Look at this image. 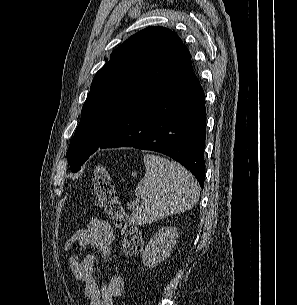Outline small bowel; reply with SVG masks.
<instances>
[{
    "instance_id": "1",
    "label": "small bowel",
    "mask_w": 297,
    "mask_h": 305,
    "mask_svg": "<svg viewBox=\"0 0 297 305\" xmlns=\"http://www.w3.org/2000/svg\"><path fill=\"white\" fill-rule=\"evenodd\" d=\"M114 240V231L108 221L93 218L85 228L76 231L64 243L66 253L76 247L70 257V267L83 287V295L88 305H113L114 300L124 293L125 282L122 277L112 275L107 280L96 277L98 264H105L111 258ZM86 247H92L94 251L82 256L81 251Z\"/></svg>"
}]
</instances>
